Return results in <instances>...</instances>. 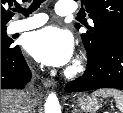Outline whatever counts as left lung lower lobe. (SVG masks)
<instances>
[{"label": "left lung lower lobe", "instance_id": "obj_1", "mask_svg": "<svg viewBox=\"0 0 123 113\" xmlns=\"http://www.w3.org/2000/svg\"><path fill=\"white\" fill-rule=\"evenodd\" d=\"M87 51L85 73L68 82L66 92H83L99 88L123 90V37L104 43L101 47Z\"/></svg>", "mask_w": 123, "mask_h": 113}]
</instances>
